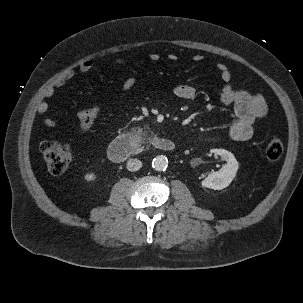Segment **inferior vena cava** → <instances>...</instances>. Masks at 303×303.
<instances>
[{
    "label": "inferior vena cava",
    "mask_w": 303,
    "mask_h": 303,
    "mask_svg": "<svg viewBox=\"0 0 303 303\" xmlns=\"http://www.w3.org/2000/svg\"><path fill=\"white\" fill-rule=\"evenodd\" d=\"M142 167V162L138 159H129L127 162V169L129 171H137Z\"/></svg>",
    "instance_id": "602c4592"
}]
</instances>
